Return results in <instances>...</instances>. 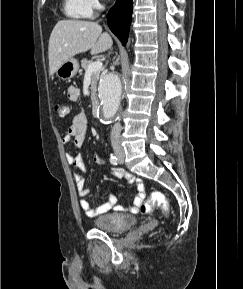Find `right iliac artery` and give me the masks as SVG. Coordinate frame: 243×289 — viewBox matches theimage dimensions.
Masks as SVG:
<instances>
[{
	"label": "right iliac artery",
	"instance_id": "1",
	"mask_svg": "<svg viewBox=\"0 0 243 289\" xmlns=\"http://www.w3.org/2000/svg\"><path fill=\"white\" fill-rule=\"evenodd\" d=\"M110 162L113 165H117L118 164V158L116 156H114V155H111L110 156Z\"/></svg>",
	"mask_w": 243,
	"mask_h": 289
}]
</instances>
